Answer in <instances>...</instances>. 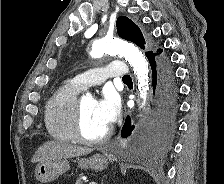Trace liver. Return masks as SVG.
Returning a JSON list of instances; mask_svg holds the SVG:
<instances>
[{
    "label": "liver",
    "mask_w": 224,
    "mask_h": 184,
    "mask_svg": "<svg viewBox=\"0 0 224 184\" xmlns=\"http://www.w3.org/2000/svg\"><path fill=\"white\" fill-rule=\"evenodd\" d=\"M93 149L58 141H48L38 148L32 163L66 159L91 153Z\"/></svg>",
    "instance_id": "6515ba94"
}]
</instances>
